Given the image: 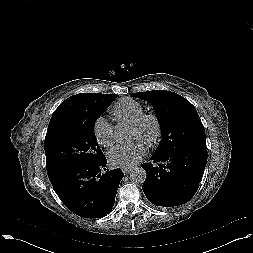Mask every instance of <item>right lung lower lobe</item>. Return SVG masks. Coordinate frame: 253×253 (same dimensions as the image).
Segmentation results:
<instances>
[{"instance_id":"1","label":"right lung lower lobe","mask_w":253,"mask_h":253,"mask_svg":"<svg viewBox=\"0 0 253 253\" xmlns=\"http://www.w3.org/2000/svg\"><path fill=\"white\" fill-rule=\"evenodd\" d=\"M105 156L93 163H83L51 172L48 177L63 204L84 218H101L112 211L124 174L120 168L106 169Z\"/></svg>"}]
</instances>
